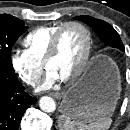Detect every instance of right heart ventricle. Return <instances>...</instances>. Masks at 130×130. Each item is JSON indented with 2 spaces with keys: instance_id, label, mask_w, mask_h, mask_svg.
<instances>
[{
  "instance_id": "right-heart-ventricle-1",
  "label": "right heart ventricle",
  "mask_w": 130,
  "mask_h": 130,
  "mask_svg": "<svg viewBox=\"0 0 130 130\" xmlns=\"http://www.w3.org/2000/svg\"><path fill=\"white\" fill-rule=\"evenodd\" d=\"M62 24L44 25L30 31L23 39L26 51L37 62L42 63L51 39Z\"/></svg>"
}]
</instances>
